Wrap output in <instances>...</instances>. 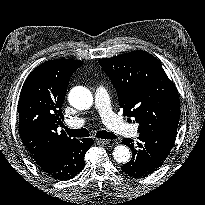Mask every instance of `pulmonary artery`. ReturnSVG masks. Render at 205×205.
<instances>
[{"instance_id":"e3ab8cb5","label":"pulmonary artery","mask_w":205,"mask_h":205,"mask_svg":"<svg viewBox=\"0 0 205 205\" xmlns=\"http://www.w3.org/2000/svg\"><path fill=\"white\" fill-rule=\"evenodd\" d=\"M95 108L98 110L101 118L108 129L116 134L137 135V126L129 125L116 115L112 109L108 91L105 87L99 86L95 91ZM86 119L76 118L68 121L70 127H81Z\"/></svg>"}]
</instances>
